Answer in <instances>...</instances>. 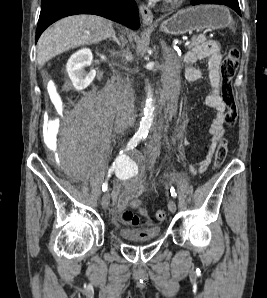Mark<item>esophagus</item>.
<instances>
[{"label": "esophagus", "instance_id": "1", "mask_svg": "<svg viewBox=\"0 0 267 298\" xmlns=\"http://www.w3.org/2000/svg\"><path fill=\"white\" fill-rule=\"evenodd\" d=\"M139 11L142 16L143 23L145 25L153 24V13L152 11L144 4L139 5Z\"/></svg>", "mask_w": 267, "mask_h": 298}]
</instances>
